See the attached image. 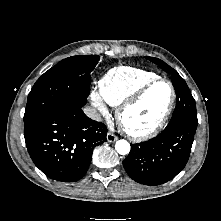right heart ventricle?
I'll list each match as a JSON object with an SVG mask.
<instances>
[{
  "mask_svg": "<svg viewBox=\"0 0 221 221\" xmlns=\"http://www.w3.org/2000/svg\"><path fill=\"white\" fill-rule=\"evenodd\" d=\"M156 77L158 75L154 72L141 68L114 67L99 80V94L104 102L115 107L130 97L143 84Z\"/></svg>",
  "mask_w": 221,
  "mask_h": 221,
  "instance_id": "obj_1",
  "label": "right heart ventricle"
}]
</instances>
